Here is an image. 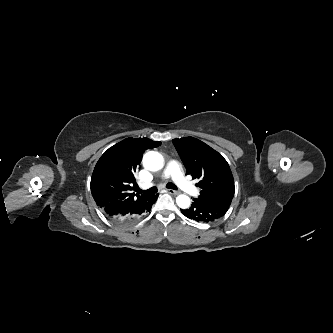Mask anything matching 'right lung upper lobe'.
<instances>
[{
  "label": "right lung upper lobe",
  "instance_id": "obj_1",
  "mask_svg": "<svg viewBox=\"0 0 333 333\" xmlns=\"http://www.w3.org/2000/svg\"><path fill=\"white\" fill-rule=\"evenodd\" d=\"M161 142L148 138H127L110 147L98 160L92 177L91 192L99 208L115 202H134L148 195L132 192L137 185L134 173L139 168L146 149Z\"/></svg>",
  "mask_w": 333,
  "mask_h": 333
}]
</instances>
